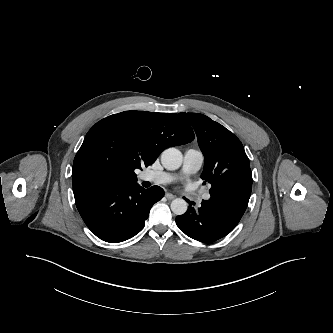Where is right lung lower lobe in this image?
<instances>
[{
  "label": "right lung lower lobe",
  "instance_id": "obj_1",
  "mask_svg": "<svg viewBox=\"0 0 333 333\" xmlns=\"http://www.w3.org/2000/svg\"><path fill=\"white\" fill-rule=\"evenodd\" d=\"M74 191L77 209L88 228L100 239L118 243L140 232L151 207L164 196L159 186L123 187L92 183Z\"/></svg>",
  "mask_w": 333,
  "mask_h": 333
}]
</instances>
